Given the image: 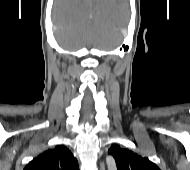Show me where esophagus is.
Masks as SVG:
<instances>
[{"label": "esophagus", "mask_w": 190, "mask_h": 170, "mask_svg": "<svg viewBox=\"0 0 190 170\" xmlns=\"http://www.w3.org/2000/svg\"><path fill=\"white\" fill-rule=\"evenodd\" d=\"M100 170H105L104 165L100 163Z\"/></svg>", "instance_id": "34e87169"}]
</instances>
